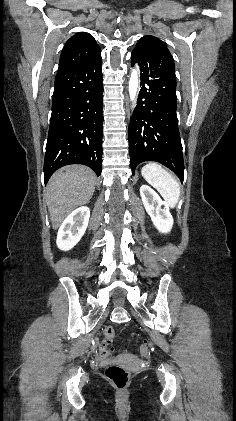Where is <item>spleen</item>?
I'll list each match as a JSON object with an SVG mask.
<instances>
[{"instance_id":"spleen-1","label":"spleen","mask_w":236,"mask_h":421,"mask_svg":"<svg viewBox=\"0 0 236 421\" xmlns=\"http://www.w3.org/2000/svg\"><path fill=\"white\" fill-rule=\"evenodd\" d=\"M141 174L149 184H152L160 192L171 208L176 206L180 196V186L170 172L162 168L158 162H148L143 166Z\"/></svg>"}]
</instances>
